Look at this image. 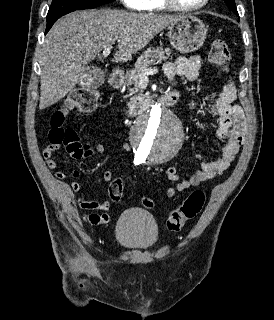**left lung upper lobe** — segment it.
Returning a JSON list of instances; mask_svg holds the SVG:
<instances>
[{"label":"left lung upper lobe","instance_id":"obj_1","mask_svg":"<svg viewBox=\"0 0 274 320\" xmlns=\"http://www.w3.org/2000/svg\"><path fill=\"white\" fill-rule=\"evenodd\" d=\"M224 1L231 11H233L235 14H238L235 6V0H224Z\"/></svg>","mask_w":274,"mask_h":320}]
</instances>
